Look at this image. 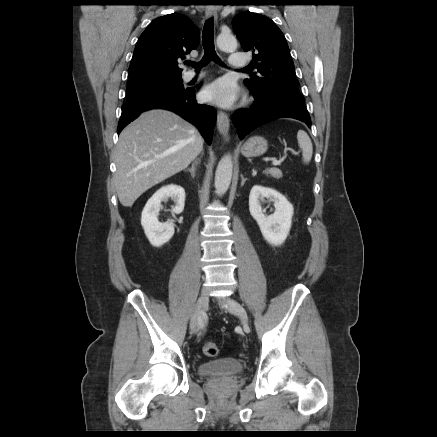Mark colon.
Masks as SVG:
<instances>
[{
    "mask_svg": "<svg viewBox=\"0 0 437 437\" xmlns=\"http://www.w3.org/2000/svg\"><path fill=\"white\" fill-rule=\"evenodd\" d=\"M203 353L208 357H215L218 354V346L212 341H206L203 344Z\"/></svg>",
    "mask_w": 437,
    "mask_h": 437,
    "instance_id": "1",
    "label": "colon"
}]
</instances>
